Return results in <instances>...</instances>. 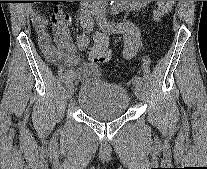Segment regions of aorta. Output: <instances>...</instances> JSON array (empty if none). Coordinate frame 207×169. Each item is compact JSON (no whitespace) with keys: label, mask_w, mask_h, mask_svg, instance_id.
I'll list each match as a JSON object with an SVG mask.
<instances>
[{"label":"aorta","mask_w":207,"mask_h":169,"mask_svg":"<svg viewBox=\"0 0 207 169\" xmlns=\"http://www.w3.org/2000/svg\"><path fill=\"white\" fill-rule=\"evenodd\" d=\"M96 4H105L107 1H94ZM134 1H113V4L118 10L128 9Z\"/></svg>","instance_id":"1"}]
</instances>
